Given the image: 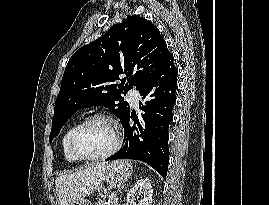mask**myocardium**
Wrapping results in <instances>:
<instances>
[{"mask_svg": "<svg viewBox=\"0 0 269 205\" xmlns=\"http://www.w3.org/2000/svg\"><path fill=\"white\" fill-rule=\"evenodd\" d=\"M94 121H102V122L107 123L110 126L112 133H113V136H114V144L105 153L95 155V156H84V155L80 154L76 148V137H77L79 131L84 126H86L87 124L94 122ZM121 145H122V136L120 133L118 122L114 118L110 117L109 115L102 114V113L88 116L84 120H82L80 123H78L74 127V129L70 135V138H69V149H70L72 155L80 161H97V160H103V159L109 158L112 155H114L121 148Z\"/></svg>", "mask_w": 269, "mask_h": 205, "instance_id": "f54148a6", "label": "myocardium"}]
</instances>
